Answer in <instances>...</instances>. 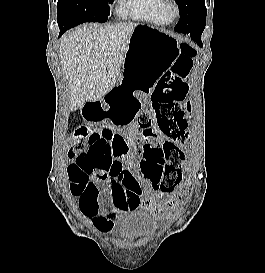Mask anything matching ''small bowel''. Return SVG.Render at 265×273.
Here are the masks:
<instances>
[{"instance_id": "small-bowel-1", "label": "small bowel", "mask_w": 265, "mask_h": 273, "mask_svg": "<svg viewBox=\"0 0 265 273\" xmlns=\"http://www.w3.org/2000/svg\"><path fill=\"white\" fill-rule=\"evenodd\" d=\"M134 95V91H111L103 104L85 103L84 107L88 109L83 110L82 118L88 119V123H104L105 119L112 120L113 123H117V128H124V123L134 120L131 116L134 108L135 111H139V104L142 103V100ZM73 128L108 129L109 125L74 124ZM127 131L129 135H133L138 132V127L130 123ZM158 135L156 130L141 132L144 142L141 144L142 156L138 158L131 153V143L124 135L119 134L110 142L109 168L95 174L98 193L95 196L86 192L75 195L79 199L82 215L98 231L111 232L117 222L125 217L127 211L139 208L142 204L148 206L158 216L166 214L164 208L154 202L151 182L156 170L167 163L166 159H159L155 154L156 145L153 140ZM141 181L144 184V190H142Z\"/></svg>"}]
</instances>
